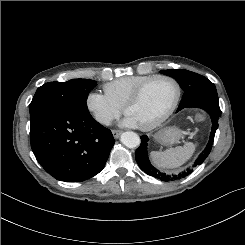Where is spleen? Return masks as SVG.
Listing matches in <instances>:
<instances>
[{
  "mask_svg": "<svg viewBox=\"0 0 245 245\" xmlns=\"http://www.w3.org/2000/svg\"><path fill=\"white\" fill-rule=\"evenodd\" d=\"M196 150V144L186 142L184 146L169 148L165 151H153L149 154L152 163L159 169H172L183 165Z\"/></svg>",
  "mask_w": 245,
  "mask_h": 245,
  "instance_id": "1",
  "label": "spleen"
}]
</instances>
